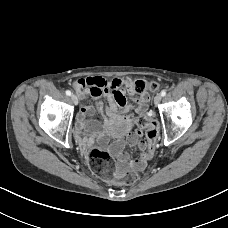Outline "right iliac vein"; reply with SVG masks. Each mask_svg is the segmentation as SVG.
<instances>
[{"instance_id": "63e3f726", "label": "right iliac vein", "mask_w": 228, "mask_h": 228, "mask_svg": "<svg viewBox=\"0 0 228 228\" xmlns=\"http://www.w3.org/2000/svg\"><path fill=\"white\" fill-rule=\"evenodd\" d=\"M71 100H72V102H73L75 105L78 104V98H77L76 95L72 94V95H71Z\"/></svg>"}]
</instances>
